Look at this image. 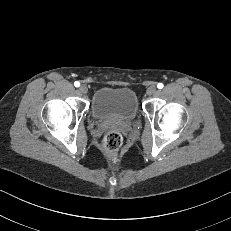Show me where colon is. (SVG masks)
Listing matches in <instances>:
<instances>
[{
    "label": "colon",
    "instance_id": "1",
    "mask_svg": "<svg viewBox=\"0 0 231 231\" xmlns=\"http://www.w3.org/2000/svg\"><path fill=\"white\" fill-rule=\"evenodd\" d=\"M123 137L119 132H109L105 135L102 142V149L109 158H116L120 154Z\"/></svg>",
    "mask_w": 231,
    "mask_h": 231
}]
</instances>
